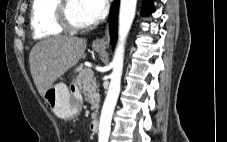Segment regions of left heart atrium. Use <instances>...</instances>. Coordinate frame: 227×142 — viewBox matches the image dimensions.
I'll list each match as a JSON object with an SVG mask.
<instances>
[{
  "instance_id": "39dd6f15",
  "label": "left heart atrium",
  "mask_w": 227,
  "mask_h": 142,
  "mask_svg": "<svg viewBox=\"0 0 227 142\" xmlns=\"http://www.w3.org/2000/svg\"><path fill=\"white\" fill-rule=\"evenodd\" d=\"M82 10L86 17L95 22L105 17L108 0H80Z\"/></svg>"
}]
</instances>
